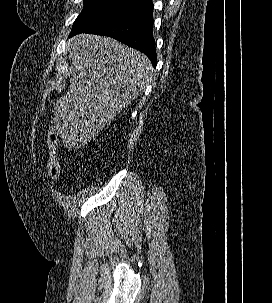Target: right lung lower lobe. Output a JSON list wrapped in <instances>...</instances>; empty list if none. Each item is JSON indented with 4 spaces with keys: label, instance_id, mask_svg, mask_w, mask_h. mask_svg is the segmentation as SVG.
<instances>
[{
    "label": "right lung lower lobe",
    "instance_id": "98d812e1",
    "mask_svg": "<svg viewBox=\"0 0 272 303\" xmlns=\"http://www.w3.org/2000/svg\"><path fill=\"white\" fill-rule=\"evenodd\" d=\"M153 6L118 20L106 22L82 33L109 36L146 54L154 67L157 65L153 38ZM79 34V33H76ZM73 34V35H76ZM73 35H70L73 36Z\"/></svg>",
    "mask_w": 272,
    "mask_h": 303
}]
</instances>
